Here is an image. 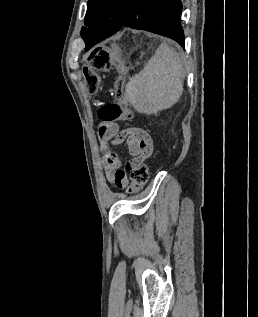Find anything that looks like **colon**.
Listing matches in <instances>:
<instances>
[{
    "label": "colon",
    "mask_w": 258,
    "mask_h": 317,
    "mask_svg": "<svg viewBox=\"0 0 258 317\" xmlns=\"http://www.w3.org/2000/svg\"><path fill=\"white\" fill-rule=\"evenodd\" d=\"M112 64L111 54L106 48H96L92 50L86 60L84 67V76L89 90L94 93L100 86V77L98 72L108 69ZM115 101L106 103L99 109L98 115L102 122L128 121L133 117V111L124 103V79L119 77L116 80L114 89ZM149 176L148 166L140 164L132 169L130 173L131 185L129 192L141 190Z\"/></svg>",
    "instance_id": "colon-1"
}]
</instances>
